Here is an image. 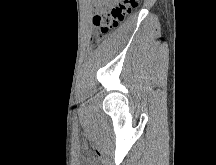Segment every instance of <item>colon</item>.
<instances>
[{"label":"colon","mask_w":216,"mask_h":165,"mask_svg":"<svg viewBox=\"0 0 216 165\" xmlns=\"http://www.w3.org/2000/svg\"><path fill=\"white\" fill-rule=\"evenodd\" d=\"M107 8L96 14L92 23L100 35L117 28L139 5V0H108Z\"/></svg>","instance_id":"obj_1"}]
</instances>
